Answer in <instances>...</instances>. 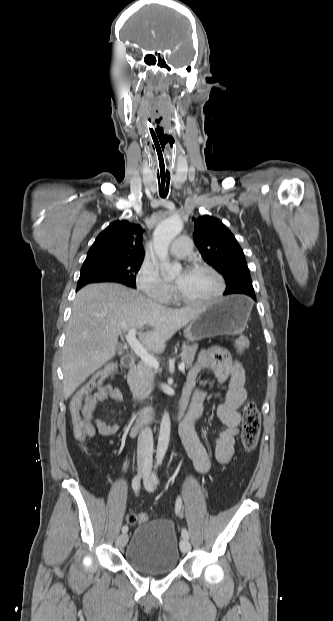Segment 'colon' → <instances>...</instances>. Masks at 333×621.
Segmentation results:
<instances>
[{
    "mask_svg": "<svg viewBox=\"0 0 333 621\" xmlns=\"http://www.w3.org/2000/svg\"><path fill=\"white\" fill-rule=\"evenodd\" d=\"M236 348L243 353L249 348V341L245 337L236 340ZM116 365L109 363L98 370L86 383H84L72 396L69 405L70 423L75 437L79 441L85 438V426L81 416V406L86 395L92 393L96 388L111 377L116 371ZM261 431V415L254 402H248L243 411L241 442L245 451L254 450L258 444ZM149 520L145 513H131L127 516L129 524L144 523Z\"/></svg>",
    "mask_w": 333,
    "mask_h": 621,
    "instance_id": "5ec220e1",
    "label": "colon"
}]
</instances>
